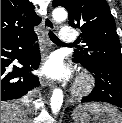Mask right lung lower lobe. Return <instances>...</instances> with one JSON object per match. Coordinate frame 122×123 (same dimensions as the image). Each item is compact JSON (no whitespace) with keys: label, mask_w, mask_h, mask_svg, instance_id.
<instances>
[{"label":"right lung lower lobe","mask_w":122,"mask_h":123,"mask_svg":"<svg viewBox=\"0 0 122 123\" xmlns=\"http://www.w3.org/2000/svg\"><path fill=\"white\" fill-rule=\"evenodd\" d=\"M36 38L1 40V101L23 98L39 85L38 77L29 73L40 64L38 44L31 48ZM14 59L24 67L12 65Z\"/></svg>","instance_id":"98d812e1"}]
</instances>
